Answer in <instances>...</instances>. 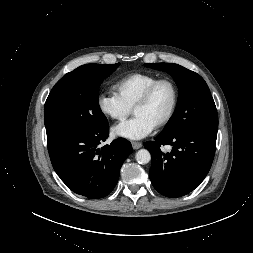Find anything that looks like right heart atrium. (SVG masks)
Wrapping results in <instances>:
<instances>
[{"instance_id": "d8ad5b80", "label": "right heart atrium", "mask_w": 253, "mask_h": 253, "mask_svg": "<svg viewBox=\"0 0 253 253\" xmlns=\"http://www.w3.org/2000/svg\"><path fill=\"white\" fill-rule=\"evenodd\" d=\"M97 105L103 115L115 121L124 120L131 112V107L113 91L101 92L97 97Z\"/></svg>"}]
</instances>
